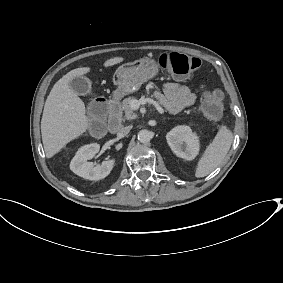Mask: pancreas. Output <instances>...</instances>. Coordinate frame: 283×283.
<instances>
[{
  "mask_svg": "<svg viewBox=\"0 0 283 283\" xmlns=\"http://www.w3.org/2000/svg\"><path fill=\"white\" fill-rule=\"evenodd\" d=\"M133 100H137V97L130 96L128 98H125L123 101H121L119 105V111H120L121 118L135 119L137 117V115H134L133 111L130 110V103ZM112 108L113 106L109 107L110 111L112 110Z\"/></svg>",
  "mask_w": 283,
  "mask_h": 283,
  "instance_id": "obj_1",
  "label": "pancreas"
}]
</instances>
